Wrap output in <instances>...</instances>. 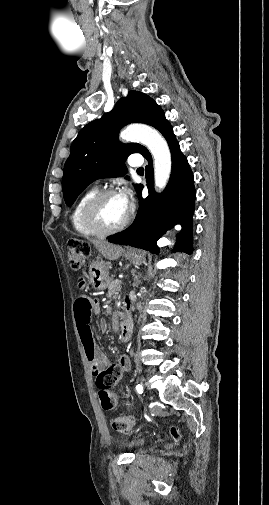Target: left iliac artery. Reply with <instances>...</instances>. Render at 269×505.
<instances>
[{"label": "left iliac artery", "instance_id": "left-iliac-artery-1", "mask_svg": "<svg viewBox=\"0 0 269 505\" xmlns=\"http://www.w3.org/2000/svg\"><path fill=\"white\" fill-rule=\"evenodd\" d=\"M136 391H137L139 394H142V393H143V387H142V385H140V384L136 385Z\"/></svg>", "mask_w": 269, "mask_h": 505}]
</instances>
